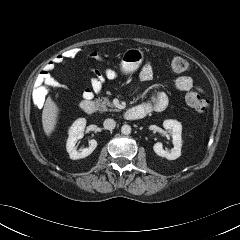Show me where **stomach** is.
Instances as JSON below:
<instances>
[{
  "instance_id": "stomach-1",
  "label": "stomach",
  "mask_w": 240,
  "mask_h": 240,
  "mask_svg": "<svg viewBox=\"0 0 240 240\" xmlns=\"http://www.w3.org/2000/svg\"><path fill=\"white\" fill-rule=\"evenodd\" d=\"M144 60V52L139 48H129L121 56V71L130 74L136 71Z\"/></svg>"
}]
</instances>
